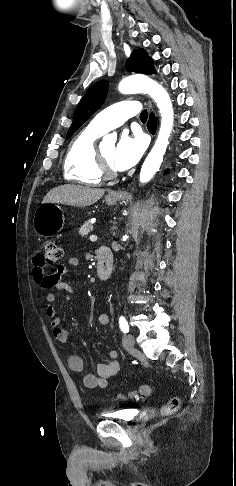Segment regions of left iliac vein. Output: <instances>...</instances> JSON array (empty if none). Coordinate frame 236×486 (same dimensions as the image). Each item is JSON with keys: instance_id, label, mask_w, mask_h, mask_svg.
Masks as SVG:
<instances>
[{"instance_id": "obj_1", "label": "left iliac vein", "mask_w": 236, "mask_h": 486, "mask_svg": "<svg viewBox=\"0 0 236 486\" xmlns=\"http://www.w3.org/2000/svg\"><path fill=\"white\" fill-rule=\"evenodd\" d=\"M122 342L125 349L132 350L135 345V338L131 334H126L123 336Z\"/></svg>"}]
</instances>
